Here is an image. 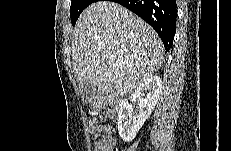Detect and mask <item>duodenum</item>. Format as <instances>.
Returning a JSON list of instances; mask_svg holds the SVG:
<instances>
[{
	"mask_svg": "<svg viewBox=\"0 0 231 151\" xmlns=\"http://www.w3.org/2000/svg\"><path fill=\"white\" fill-rule=\"evenodd\" d=\"M109 104L112 108H119L121 106V99L118 97H110L108 99Z\"/></svg>",
	"mask_w": 231,
	"mask_h": 151,
	"instance_id": "1",
	"label": "duodenum"
}]
</instances>
